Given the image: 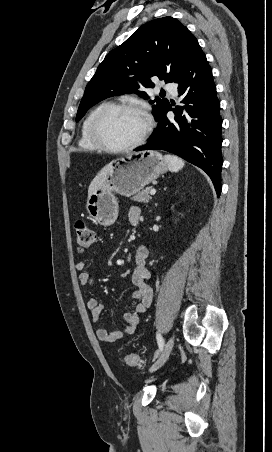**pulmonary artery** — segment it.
I'll return each instance as SVG.
<instances>
[{"label":"pulmonary artery","mask_w":272,"mask_h":452,"mask_svg":"<svg viewBox=\"0 0 272 452\" xmlns=\"http://www.w3.org/2000/svg\"><path fill=\"white\" fill-rule=\"evenodd\" d=\"M163 88L173 94H176L177 89H176V84L173 82H166L163 84Z\"/></svg>","instance_id":"obj_1"}]
</instances>
